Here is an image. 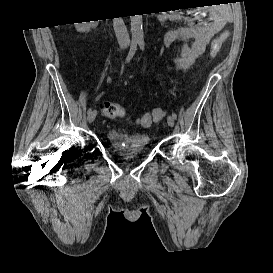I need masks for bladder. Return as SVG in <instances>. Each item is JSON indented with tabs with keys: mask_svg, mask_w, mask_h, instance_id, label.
Listing matches in <instances>:
<instances>
[{
	"mask_svg": "<svg viewBox=\"0 0 273 273\" xmlns=\"http://www.w3.org/2000/svg\"><path fill=\"white\" fill-rule=\"evenodd\" d=\"M106 138L110 149L120 158H132L143 153L150 145L147 133H129L109 129Z\"/></svg>",
	"mask_w": 273,
	"mask_h": 273,
	"instance_id": "obj_1",
	"label": "bladder"
}]
</instances>
